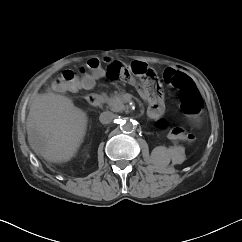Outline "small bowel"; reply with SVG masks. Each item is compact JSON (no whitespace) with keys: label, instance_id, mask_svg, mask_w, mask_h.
Masks as SVG:
<instances>
[{"label":"small bowel","instance_id":"small-bowel-1","mask_svg":"<svg viewBox=\"0 0 242 242\" xmlns=\"http://www.w3.org/2000/svg\"><path fill=\"white\" fill-rule=\"evenodd\" d=\"M136 62H140V61H136ZM118 63L120 64L122 69H124V67H126V65H124V64H122L120 62H118ZM141 63H143V62H141ZM167 70H175V69L169 68ZM123 79L128 81L130 84H135L136 83V81L132 77H123ZM88 80H89V84L88 85H84V88H86V89L92 88L94 86L96 77H90ZM141 93H142L143 96H146V91H145V89L143 87L141 88ZM160 108H161L160 105H158L157 109L159 110Z\"/></svg>","mask_w":242,"mask_h":242}]
</instances>
